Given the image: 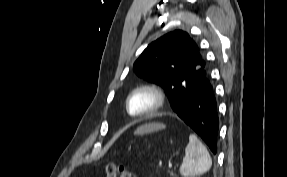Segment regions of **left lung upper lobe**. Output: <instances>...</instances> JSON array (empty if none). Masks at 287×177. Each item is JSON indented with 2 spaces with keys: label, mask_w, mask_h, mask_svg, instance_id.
Returning <instances> with one entry per match:
<instances>
[{
  "label": "left lung upper lobe",
  "mask_w": 287,
  "mask_h": 177,
  "mask_svg": "<svg viewBox=\"0 0 287 177\" xmlns=\"http://www.w3.org/2000/svg\"><path fill=\"white\" fill-rule=\"evenodd\" d=\"M134 71L162 86L174 108L186 88L197 83L205 71V62L190 36L176 30L149 44L134 63Z\"/></svg>",
  "instance_id": "5c2ea615"
}]
</instances>
